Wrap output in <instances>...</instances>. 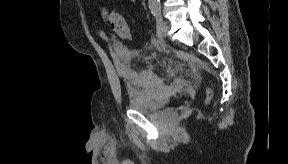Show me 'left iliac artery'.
<instances>
[{
    "mask_svg": "<svg viewBox=\"0 0 288 164\" xmlns=\"http://www.w3.org/2000/svg\"><path fill=\"white\" fill-rule=\"evenodd\" d=\"M149 8L156 18L161 16V5L159 0H149Z\"/></svg>",
    "mask_w": 288,
    "mask_h": 164,
    "instance_id": "left-iliac-artery-1",
    "label": "left iliac artery"
}]
</instances>
